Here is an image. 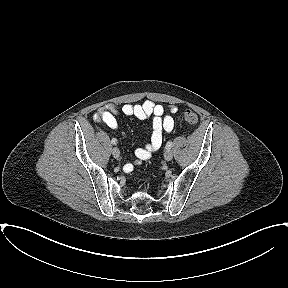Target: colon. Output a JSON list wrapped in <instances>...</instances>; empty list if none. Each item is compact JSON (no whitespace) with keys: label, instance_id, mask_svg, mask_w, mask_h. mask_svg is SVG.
Returning <instances> with one entry per match:
<instances>
[{"label":"colon","instance_id":"1","mask_svg":"<svg viewBox=\"0 0 288 288\" xmlns=\"http://www.w3.org/2000/svg\"><path fill=\"white\" fill-rule=\"evenodd\" d=\"M184 119H185L186 123H188L191 126H195L198 122L197 115L190 110H187L184 112Z\"/></svg>","mask_w":288,"mask_h":288}]
</instances>
